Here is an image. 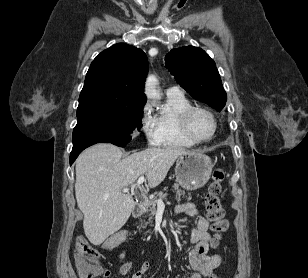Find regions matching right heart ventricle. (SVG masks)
I'll return each instance as SVG.
<instances>
[{
  "instance_id": "obj_1",
  "label": "right heart ventricle",
  "mask_w": 308,
  "mask_h": 278,
  "mask_svg": "<svg viewBox=\"0 0 308 278\" xmlns=\"http://www.w3.org/2000/svg\"><path fill=\"white\" fill-rule=\"evenodd\" d=\"M167 111L160 112L156 118L157 145L168 148H189L195 145L187 139L178 126L177 116L181 110L190 106V101L182 95H167Z\"/></svg>"
}]
</instances>
